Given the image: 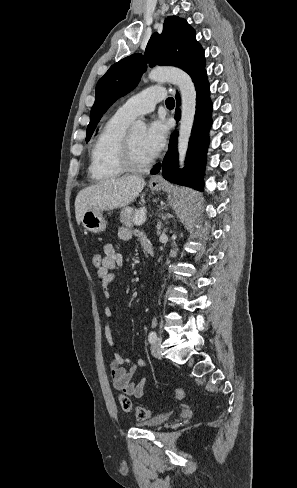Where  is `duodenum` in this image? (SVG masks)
<instances>
[{
    "label": "duodenum",
    "mask_w": 297,
    "mask_h": 488,
    "mask_svg": "<svg viewBox=\"0 0 297 488\" xmlns=\"http://www.w3.org/2000/svg\"><path fill=\"white\" fill-rule=\"evenodd\" d=\"M145 249H146V251H147V253H148L149 256L152 257V256L155 255V249H154V246L152 244H147L145 246Z\"/></svg>",
    "instance_id": "obj_1"
}]
</instances>
